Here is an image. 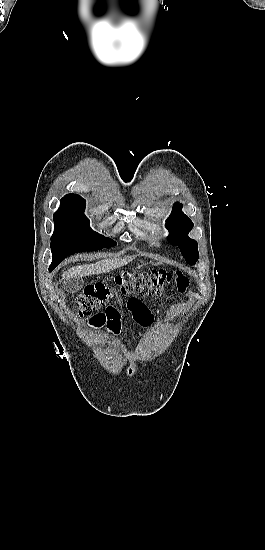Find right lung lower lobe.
<instances>
[{
	"label": "right lung lower lobe",
	"instance_id": "right-lung-lower-lobe-1",
	"mask_svg": "<svg viewBox=\"0 0 265 550\" xmlns=\"http://www.w3.org/2000/svg\"><path fill=\"white\" fill-rule=\"evenodd\" d=\"M55 267H49V271H52Z\"/></svg>",
	"mask_w": 265,
	"mask_h": 550
}]
</instances>
